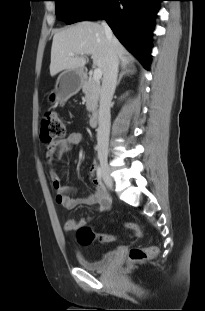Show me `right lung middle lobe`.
Instances as JSON below:
<instances>
[{"instance_id":"dd1d6c3e","label":"right lung middle lobe","mask_w":205,"mask_h":311,"mask_svg":"<svg viewBox=\"0 0 205 311\" xmlns=\"http://www.w3.org/2000/svg\"><path fill=\"white\" fill-rule=\"evenodd\" d=\"M56 3V16L67 24L83 21L88 15L93 14L103 0H53ZM90 10L83 12L82 8Z\"/></svg>"}]
</instances>
